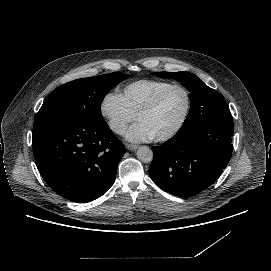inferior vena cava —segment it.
<instances>
[{
  "instance_id": "1",
  "label": "inferior vena cava",
  "mask_w": 271,
  "mask_h": 271,
  "mask_svg": "<svg viewBox=\"0 0 271 271\" xmlns=\"http://www.w3.org/2000/svg\"><path fill=\"white\" fill-rule=\"evenodd\" d=\"M110 127L115 133L119 135H125L127 130V126L123 121L111 122Z\"/></svg>"
}]
</instances>
